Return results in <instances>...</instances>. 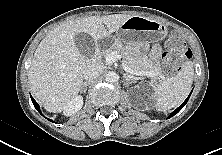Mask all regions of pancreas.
Masks as SVG:
<instances>
[{
  "label": "pancreas",
  "mask_w": 222,
  "mask_h": 155,
  "mask_svg": "<svg viewBox=\"0 0 222 155\" xmlns=\"http://www.w3.org/2000/svg\"><path fill=\"white\" fill-rule=\"evenodd\" d=\"M116 51L122 58L126 66L132 70H152L157 76L162 77V69L159 63H150L147 57L137 58L135 56L136 47L135 46H123L119 42H115L108 50L104 52L107 56L111 52Z\"/></svg>",
  "instance_id": "1"
}]
</instances>
